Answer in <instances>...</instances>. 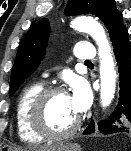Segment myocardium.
Wrapping results in <instances>:
<instances>
[{
  "instance_id": "f54148a6",
  "label": "myocardium",
  "mask_w": 131,
  "mask_h": 151,
  "mask_svg": "<svg viewBox=\"0 0 131 151\" xmlns=\"http://www.w3.org/2000/svg\"><path fill=\"white\" fill-rule=\"evenodd\" d=\"M57 94H67L60 86L44 88L35 98L30 111V124L33 131L48 140H63L72 136L80 127L81 119L78 117L73 125L65 131L53 132L46 124V108L49 100Z\"/></svg>"
}]
</instances>
